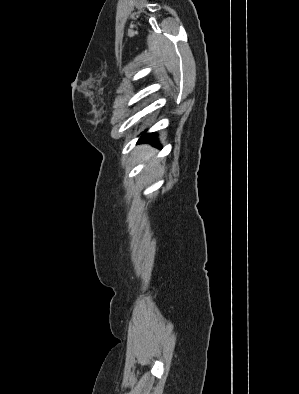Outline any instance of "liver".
Returning a JSON list of instances; mask_svg holds the SVG:
<instances>
[{
	"instance_id": "liver-1",
	"label": "liver",
	"mask_w": 299,
	"mask_h": 394,
	"mask_svg": "<svg viewBox=\"0 0 299 394\" xmlns=\"http://www.w3.org/2000/svg\"><path fill=\"white\" fill-rule=\"evenodd\" d=\"M140 152V155L142 156V160H148L150 157H152L155 153V151H153L151 149L150 146L148 145H141L137 148Z\"/></svg>"
}]
</instances>
